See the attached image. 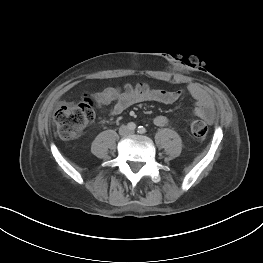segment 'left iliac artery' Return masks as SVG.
Wrapping results in <instances>:
<instances>
[{
	"label": "left iliac artery",
	"mask_w": 263,
	"mask_h": 263,
	"mask_svg": "<svg viewBox=\"0 0 263 263\" xmlns=\"http://www.w3.org/2000/svg\"><path fill=\"white\" fill-rule=\"evenodd\" d=\"M146 132V129L143 126L138 127V133L144 134Z\"/></svg>",
	"instance_id": "1"
}]
</instances>
